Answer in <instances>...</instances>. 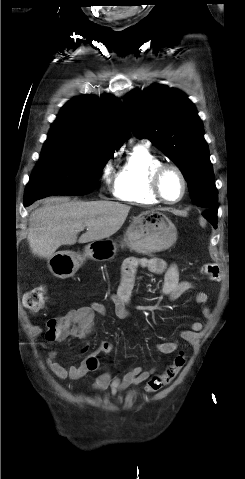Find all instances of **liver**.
<instances>
[{"instance_id":"obj_1","label":"liver","mask_w":245,"mask_h":479,"mask_svg":"<svg viewBox=\"0 0 245 479\" xmlns=\"http://www.w3.org/2000/svg\"><path fill=\"white\" fill-rule=\"evenodd\" d=\"M130 206L112 201H77L50 198L29 217L28 242L32 252L49 259L62 245L99 241L115 234L124 224Z\"/></svg>"}]
</instances>
